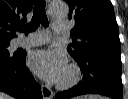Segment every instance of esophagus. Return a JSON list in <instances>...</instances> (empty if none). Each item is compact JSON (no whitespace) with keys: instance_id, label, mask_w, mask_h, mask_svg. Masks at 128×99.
I'll use <instances>...</instances> for the list:
<instances>
[{"instance_id":"34e87169","label":"esophagus","mask_w":128,"mask_h":99,"mask_svg":"<svg viewBox=\"0 0 128 99\" xmlns=\"http://www.w3.org/2000/svg\"><path fill=\"white\" fill-rule=\"evenodd\" d=\"M46 2H50V0H46ZM41 91L44 99H52L53 98V92L51 88L47 85H42L41 86Z\"/></svg>"}]
</instances>
